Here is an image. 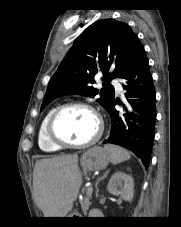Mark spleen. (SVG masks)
<instances>
[{
    "mask_svg": "<svg viewBox=\"0 0 181 227\" xmlns=\"http://www.w3.org/2000/svg\"><path fill=\"white\" fill-rule=\"evenodd\" d=\"M104 148L110 154L111 162L113 164H119L123 161L128 160L131 157L130 153L120 146L113 145V144H106Z\"/></svg>",
    "mask_w": 181,
    "mask_h": 227,
    "instance_id": "obj_1",
    "label": "spleen"
}]
</instances>
